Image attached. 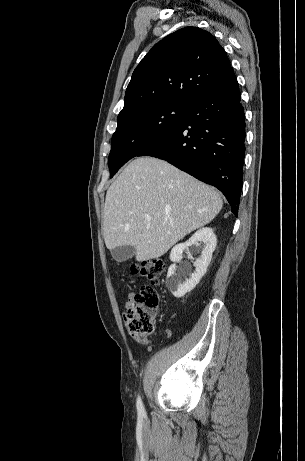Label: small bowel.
I'll list each match as a JSON object with an SVG mask.
<instances>
[{"label": "small bowel", "instance_id": "1", "mask_svg": "<svg viewBox=\"0 0 305 461\" xmlns=\"http://www.w3.org/2000/svg\"><path fill=\"white\" fill-rule=\"evenodd\" d=\"M134 297H135L134 292H129L127 294L126 302H125V305H124V311H123V319H124V321L128 320L127 316H126V310H127L128 306L131 304ZM132 336L137 342H140V343H147L148 342V339H147V337L145 335L133 334Z\"/></svg>", "mask_w": 305, "mask_h": 461}]
</instances>
